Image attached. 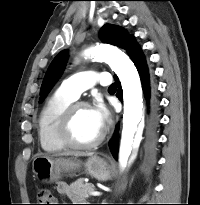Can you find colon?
<instances>
[{"label": "colon", "mask_w": 200, "mask_h": 205, "mask_svg": "<svg viewBox=\"0 0 200 205\" xmlns=\"http://www.w3.org/2000/svg\"><path fill=\"white\" fill-rule=\"evenodd\" d=\"M37 199L39 204L38 205H56L55 203V197L48 189H40L37 192Z\"/></svg>", "instance_id": "colon-1"}]
</instances>
